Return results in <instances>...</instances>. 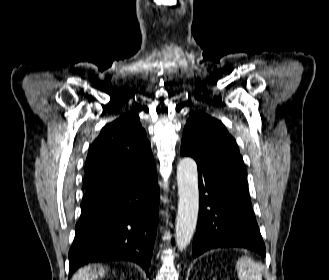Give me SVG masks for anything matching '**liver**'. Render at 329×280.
Masks as SVG:
<instances>
[{
    "label": "liver",
    "mask_w": 329,
    "mask_h": 280,
    "mask_svg": "<svg viewBox=\"0 0 329 280\" xmlns=\"http://www.w3.org/2000/svg\"><path fill=\"white\" fill-rule=\"evenodd\" d=\"M105 269L98 267V270L92 269L91 266L84 267L81 269L72 280H98L99 276L103 277Z\"/></svg>",
    "instance_id": "6515ba94"
}]
</instances>
